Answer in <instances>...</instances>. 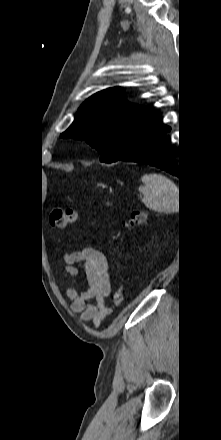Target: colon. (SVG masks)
Wrapping results in <instances>:
<instances>
[{
    "label": "colon",
    "instance_id": "colon-1",
    "mask_svg": "<svg viewBox=\"0 0 221 440\" xmlns=\"http://www.w3.org/2000/svg\"><path fill=\"white\" fill-rule=\"evenodd\" d=\"M147 214L144 211H133L129 215L127 225L139 226L145 223ZM77 220V212L72 208H54L50 213L49 221L52 226L57 228H66L74 224ZM112 302L115 306H121L124 302V292L121 288L113 291L111 296Z\"/></svg>",
    "mask_w": 221,
    "mask_h": 440
}]
</instances>
